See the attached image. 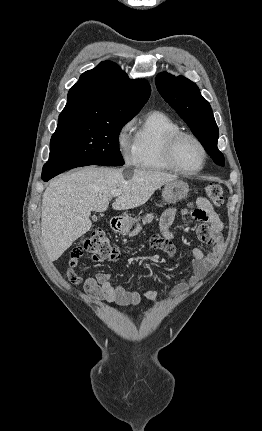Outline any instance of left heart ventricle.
<instances>
[{
    "label": "left heart ventricle",
    "instance_id": "1",
    "mask_svg": "<svg viewBox=\"0 0 262 431\" xmlns=\"http://www.w3.org/2000/svg\"><path fill=\"white\" fill-rule=\"evenodd\" d=\"M177 159L187 170H195L202 164V152L191 140L184 139L177 148Z\"/></svg>",
    "mask_w": 262,
    "mask_h": 431
}]
</instances>
